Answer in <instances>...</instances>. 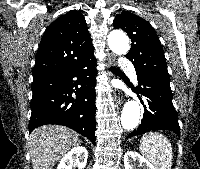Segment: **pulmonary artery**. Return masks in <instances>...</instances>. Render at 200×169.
<instances>
[{
	"label": "pulmonary artery",
	"instance_id": "e3ab8cb5",
	"mask_svg": "<svg viewBox=\"0 0 200 169\" xmlns=\"http://www.w3.org/2000/svg\"><path fill=\"white\" fill-rule=\"evenodd\" d=\"M120 64L123 65V66H126V65H128V60L122 59L120 61ZM129 74L134 80H136V73L133 69L129 70Z\"/></svg>",
	"mask_w": 200,
	"mask_h": 169
}]
</instances>
